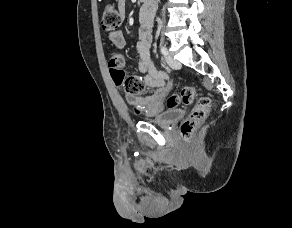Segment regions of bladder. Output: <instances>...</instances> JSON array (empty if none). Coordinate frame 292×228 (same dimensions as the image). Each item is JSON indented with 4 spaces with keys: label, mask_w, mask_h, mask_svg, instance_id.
Listing matches in <instances>:
<instances>
[{
    "label": "bladder",
    "mask_w": 292,
    "mask_h": 228,
    "mask_svg": "<svg viewBox=\"0 0 292 228\" xmlns=\"http://www.w3.org/2000/svg\"><path fill=\"white\" fill-rule=\"evenodd\" d=\"M184 115L183 109H172L161 114L145 117L144 120L161 127H169Z\"/></svg>",
    "instance_id": "1"
}]
</instances>
